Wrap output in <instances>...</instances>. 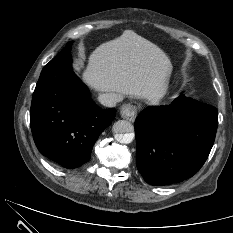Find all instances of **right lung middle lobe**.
Wrapping results in <instances>:
<instances>
[{
    "label": "right lung middle lobe",
    "instance_id": "dd1d6c3e",
    "mask_svg": "<svg viewBox=\"0 0 233 233\" xmlns=\"http://www.w3.org/2000/svg\"><path fill=\"white\" fill-rule=\"evenodd\" d=\"M71 47H72V42L68 43V44L66 45L65 49H71Z\"/></svg>",
    "mask_w": 233,
    "mask_h": 233
}]
</instances>
